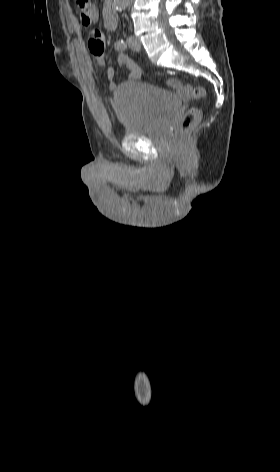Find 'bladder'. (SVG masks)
I'll return each instance as SVG.
<instances>
[{
    "label": "bladder",
    "instance_id": "obj_1",
    "mask_svg": "<svg viewBox=\"0 0 280 472\" xmlns=\"http://www.w3.org/2000/svg\"><path fill=\"white\" fill-rule=\"evenodd\" d=\"M113 104L125 134L131 137L155 131L180 107V102L167 90L140 81L119 84Z\"/></svg>",
    "mask_w": 280,
    "mask_h": 472
}]
</instances>
